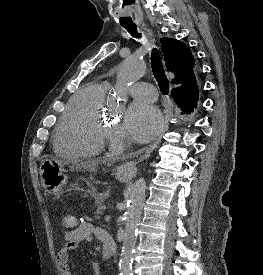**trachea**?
I'll return each mask as SVG.
<instances>
[{"label": "trachea", "instance_id": "trachea-1", "mask_svg": "<svg viewBox=\"0 0 263 275\" xmlns=\"http://www.w3.org/2000/svg\"><path fill=\"white\" fill-rule=\"evenodd\" d=\"M126 30L131 34L132 37L140 38L141 34L137 32L136 27H125ZM151 67L152 72L160 90L163 94L167 95L169 93V82L165 76L164 69L162 66L161 58L157 49H153L151 53Z\"/></svg>", "mask_w": 263, "mask_h": 275}]
</instances>
